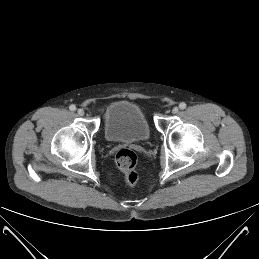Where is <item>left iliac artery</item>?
<instances>
[{"instance_id": "1", "label": "left iliac artery", "mask_w": 259, "mask_h": 259, "mask_svg": "<svg viewBox=\"0 0 259 259\" xmlns=\"http://www.w3.org/2000/svg\"><path fill=\"white\" fill-rule=\"evenodd\" d=\"M179 108H180V109H185V108H186V104H185L184 102H181V103L179 104Z\"/></svg>"}]
</instances>
